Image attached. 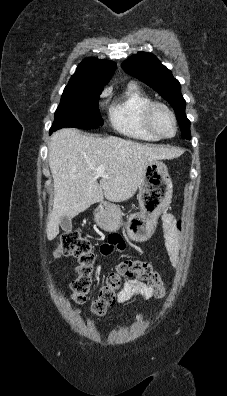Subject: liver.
Instances as JSON below:
<instances>
[{"instance_id": "6515ba94", "label": "liver", "mask_w": 227, "mask_h": 396, "mask_svg": "<svg viewBox=\"0 0 227 396\" xmlns=\"http://www.w3.org/2000/svg\"><path fill=\"white\" fill-rule=\"evenodd\" d=\"M179 153L173 148L148 146L115 136L94 137L73 128L55 132L48 154L54 180L53 209L46 226L48 240L59 234L62 216L75 217L104 197L111 202L130 199L139 187L146 164L172 159ZM101 165L103 176L97 173Z\"/></svg>"}]
</instances>
